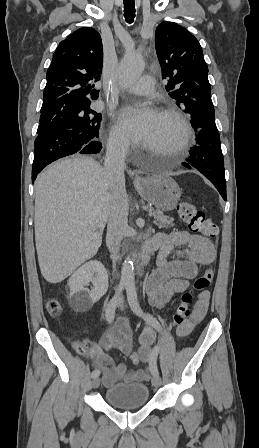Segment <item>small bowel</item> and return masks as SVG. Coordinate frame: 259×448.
Listing matches in <instances>:
<instances>
[{
  "mask_svg": "<svg viewBox=\"0 0 259 448\" xmlns=\"http://www.w3.org/2000/svg\"><path fill=\"white\" fill-rule=\"evenodd\" d=\"M159 250L157 268L151 273L147 282L150 303L158 308L166 305L173 295L184 293L190 280L198 275L199 268L209 266L216 257L213 243L206 237L186 231H173L158 234L151 239ZM210 293H199L189 321L176 327L179 337L189 336L196 325L205 317L209 307ZM153 333L144 330L140 337L139 355L145 364L144 369L128 371L124 364L115 365L108 351L118 350L128 356L132 352V330L129 320L121 317L115 326L103 334L98 344L91 346L87 356L93 359L96 370L102 371V381L106 387L119 380L127 383L148 381L156 367L151 356Z\"/></svg>",
  "mask_w": 259,
  "mask_h": 448,
  "instance_id": "obj_1",
  "label": "small bowel"
}]
</instances>
